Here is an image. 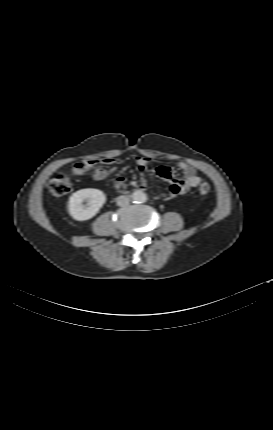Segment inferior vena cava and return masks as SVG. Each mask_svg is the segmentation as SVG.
<instances>
[{"instance_id": "inferior-vena-cava-1", "label": "inferior vena cava", "mask_w": 273, "mask_h": 430, "mask_svg": "<svg viewBox=\"0 0 273 430\" xmlns=\"http://www.w3.org/2000/svg\"><path fill=\"white\" fill-rule=\"evenodd\" d=\"M129 202L130 199L127 196L122 195L117 198V205L120 207L128 206Z\"/></svg>"}]
</instances>
